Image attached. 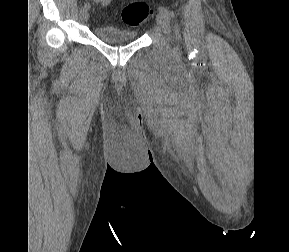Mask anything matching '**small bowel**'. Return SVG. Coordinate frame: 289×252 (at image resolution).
<instances>
[{"label":"small bowel","mask_w":289,"mask_h":252,"mask_svg":"<svg viewBox=\"0 0 289 252\" xmlns=\"http://www.w3.org/2000/svg\"><path fill=\"white\" fill-rule=\"evenodd\" d=\"M90 1L95 4H99L101 7H107L113 2V0H90Z\"/></svg>","instance_id":"1"}]
</instances>
